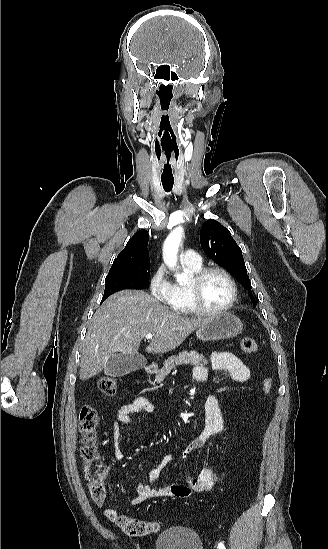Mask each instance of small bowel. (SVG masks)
Segmentation results:
<instances>
[{
  "label": "small bowel",
  "mask_w": 328,
  "mask_h": 549,
  "mask_svg": "<svg viewBox=\"0 0 328 549\" xmlns=\"http://www.w3.org/2000/svg\"><path fill=\"white\" fill-rule=\"evenodd\" d=\"M210 363L214 370L227 371L230 379L236 383L246 382L251 377L250 368L236 355L228 352H214L211 354ZM207 370L201 365L193 368V376L198 381L205 380ZM154 405L145 397H137L130 403L121 406L116 413L111 430V443L113 452L118 460L124 459V454L118 446V425L119 423L132 424L131 415L138 413H152ZM205 426L198 436L183 450L181 458L187 461L192 453L203 449L210 440L223 430V418L219 399L216 395L208 397L205 403ZM172 456L163 455L157 467L148 473V483H140L136 487V496L130 501L132 505H138L149 498L169 497L188 498L193 493H202L212 490L218 482V473L212 468L204 467L198 474L185 470L187 485L169 483L163 486L154 487L155 482L163 470L172 462ZM115 513L110 510L107 514Z\"/></svg>",
  "instance_id": "obj_1"
}]
</instances>
